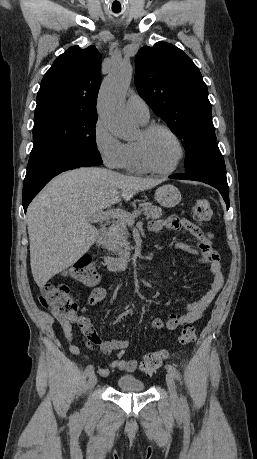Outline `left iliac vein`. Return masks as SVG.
<instances>
[{"instance_id": "left-iliac-vein-1", "label": "left iliac vein", "mask_w": 257, "mask_h": 459, "mask_svg": "<svg viewBox=\"0 0 257 459\" xmlns=\"http://www.w3.org/2000/svg\"><path fill=\"white\" fill-rule=\"evenodd\" d=\"M166 383L170 393L171 405L173 408L177 409L180 406V403L176 392L175 381L171 373H167Z\"/></svg>"}]
</instances>
